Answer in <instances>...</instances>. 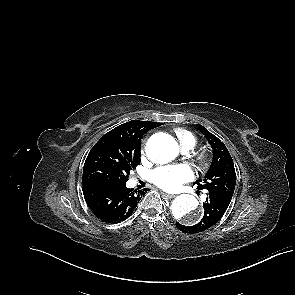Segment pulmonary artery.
I'll return each instance as SVG.
<instances>
[{"instance_id": "1", "label": "pulmonary artery", "mask_w": 295, "mask_h": 295, "mask_svg": "<svg viewBox=\"0 0 295 295\" xmlns=\"http://www.w3.org/2000/svg\"><path fill=\"white\" fill-rule=\"evenodd\" d=\"M183 152H184V153H187V152H188V150H183Z\"/></svg>"}]
</instances>
